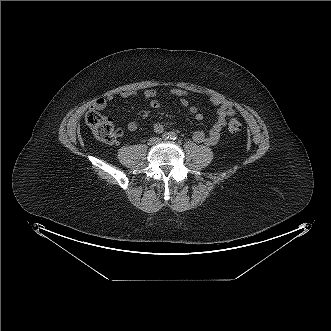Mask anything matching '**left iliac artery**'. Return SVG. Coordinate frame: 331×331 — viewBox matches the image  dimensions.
<instances>
[{
  "label": "left iliac artery",
  "mask_w": 331,
  "mask_h": 331,
  "mask_svg": "<svg viewBox=\"0 0 331 331\" xmlns=\"http://www.w3.org/2000/svg\"><path fill=\"white\" fill-rule=\"evenodd\" d=\"M170 139H171V140H176V139H177V134L174 133V132H172V133L170 134Z\"/></svg>",
  "instance_id": "44dca946"
}]
</instances>
